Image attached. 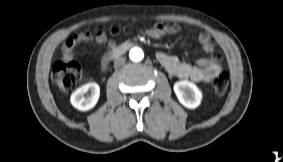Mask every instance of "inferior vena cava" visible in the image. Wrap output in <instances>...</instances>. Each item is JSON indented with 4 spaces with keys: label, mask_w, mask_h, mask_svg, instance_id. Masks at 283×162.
<instances>
[{
    "label": "inferior vena cava",
    "mask_w": 283,
    "mask_h": 162,
    "mask_svg": "<svg viewBox=\"0 0 283 162\" xmlns=\"http://www.w3.org/2000/svg\"><path fill=\"white\" fill-rule=\"evenodd\" d=\"M126 59L124 57H119L114 61V67L117 68L125 63Z\"/></svg>",
    "instance_id": "inferior-vena-cava-1"
}]
</instances>
